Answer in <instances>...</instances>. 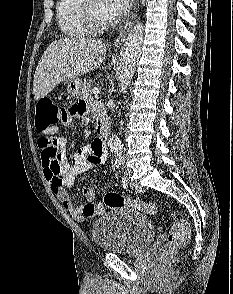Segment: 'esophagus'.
<instances>
[{
    "mask_svg": "<svg viewBox=\"0 0 233 294\" xmlns=\"http://www.w3.org/2000/svg\"><path fill=\"white\" fill-rule=\"evenodd\" d=\"M137 7H138V0H136V2L134 4V8H133L132 14L130 15V17L125 22V25H124L122 31L120 32L119 36L114 41V45L115 46L118 47V46H121L124 43L125 38H126V35H127L128 31H129V29L131 28L132 20L135 17V13H136Z\"/></svg>",
    "mask_w": 233,
    "mask_h": 294,
    "instance_id": "1",
    "label": "esophagus"
}]
</instances>
